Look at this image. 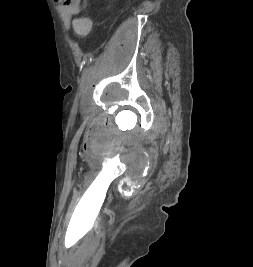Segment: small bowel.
<instances>
[{
  "mask_svg": "<svg viewBox=\"0 0 253 267\" xmlns=\"http://www.w3.org/2000/svg\"><path fill=\"white\" fill-rule=\"evenodd\" d=\"M65 27L69 28L72 18L82 10V0H54Z\"/></svg>",
  "mask_w": 253,
  "mask_h": 267,
  "instance_id": "c3829d8e",
  "label": "small bowel"
}]
</instances>
